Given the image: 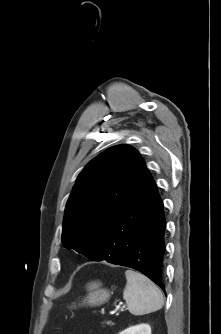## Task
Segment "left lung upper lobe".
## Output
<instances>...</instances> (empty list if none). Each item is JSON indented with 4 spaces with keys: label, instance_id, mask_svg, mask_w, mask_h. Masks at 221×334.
<instances>
[{
    "label": "left lung upper lobe",
    "instance_id": "5c2ea615",
    "mask_svg": "<svg viewBox=\"0 0 221 334\" xmlns=\"http://www.w3.org/2000/svg\"><path fill=\"white\" fill-rule=\"evenodd\" d=\"M146 173L144 160L128 145L111 147L91 160L66 205L63 245L96 259L108 226Z\"/></svg>",
    "mask_w": 221,
    "mask_h": 334
}]
</instances>
